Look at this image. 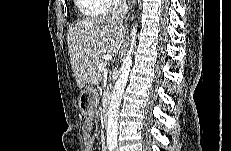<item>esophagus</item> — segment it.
<instances>
[{
	"label": "esophagus",
	"mask_w": 231,
	"mask_h": 151,
	"mask_svg": "<svg viewBox=\"0 0 231 151\" xmlns=\"http://www.w3.org/2000/svg\"><path fill=\"white\" fill-rule=\"evenodd\" d=\"M128 5H129V10L132 9L133 6H134V1H131V0H130L129 3H128ZM125 18L127 19L128 16H126Z\"/></svg>",
	"instance_id": "esophagus-1"
}]
</instances>
